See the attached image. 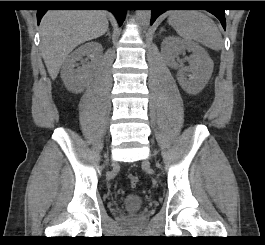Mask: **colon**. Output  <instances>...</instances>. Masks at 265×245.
I'll list each match as a JSON object with an SVG mask.
<instances>
[{
	"label": "colon",
	"mask_w": 265,
	"mask_h": 245,
	"mask_svg": "<svg viewBox=\"0 0 265 245\" xmlns=\"http://www.w3.org/2000/svg\"><path fill=\"white\" fill-rule=\"evenodd\" d=\"M139 181V178L137 175H129V182L132 187H135Z\"/></svg>",
	"instance_id": "5ec220e1"
}]
</instances>
